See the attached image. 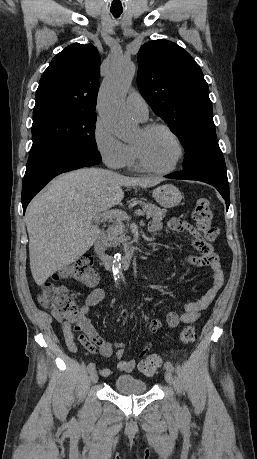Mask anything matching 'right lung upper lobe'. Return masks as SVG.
I'll return each instance as SVG.
<instances>
[{
  "label": "right lung upper lobe",
  "mask_w": 257,
  "mask_h": 459,
  "mask_svg": "<svg viewBox=\"0 0 257 459\" xmlns=\"http://www.w3.org/2000/svg\"><path fill=\"white\" fill-rule=\"evenodd\" d=\"M99 72L100 55L92 44L66 47L44 71L33 112L69 108L95 113Z\"/></svg>",
  "instance_id": "cb5924a9"
}]
</instances>
